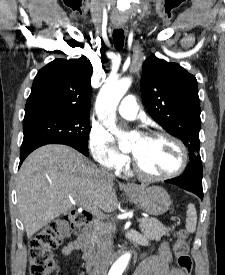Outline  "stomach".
I'll return each mask as SVG.
<instances>
[{"mask_svg": "<svg viewBox=\"0 0 225 275\" xmlns=\"http://www.w3.org/2000/svg\"><path fill=\"white\" fill-rule=\"evenodd\" d=\"M126 194L139 208L152 216L164 214L171 206L168 193L159 186L135 187L133 191H126Z\"/></svg>", "mask_w": 225, "mask_h": 275, "instance_id": "0dacf381", "label": "stomach"}]
</instances>
